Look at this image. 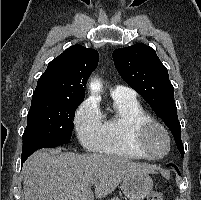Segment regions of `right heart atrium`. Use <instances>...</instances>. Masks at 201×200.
Masks as SVG:
<instances>
[{
	"instance_id": "right-heart-atrium-1",
	"label": "right heart atrium",
	"mask_w": 201,
	"mask_h": 200,
	"mask_svg": "<svg viewBox=\"0 0 201 200\" xmlns=\"http://www.w3.org/2000/svg\"><path fill=\"white\" fill-rule=\"evenodd\" d=\"M74 127L81 144L88 150L99 148L102 132V116L91 100L84 101L77 109Z\"/></svg>"
}]
</instances>
